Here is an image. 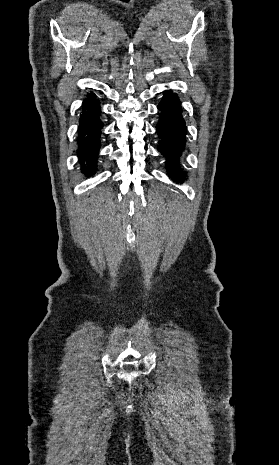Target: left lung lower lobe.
Here are the masks:
<instances>
[{
	"label": "left lung lower lobe",
	"instance_id": "0a47b994",
	"mask_svg": "<svg viewBox=\"0 0 279 465\" xmlns=\"http://www.w3.org/2000/svg\"><path fill=\"white\" fill-rule=\"evenodd\" d=\"M161 111L156 125L159 141L158 151L166 157V168L177 180L183 181L186 176L179 169V158L186 145V125L182 116L181 102L171 91H165L158 105Z\"/></svg>",
	"mask_w": 279,
	"mask_h": 465
}]
</instances>
